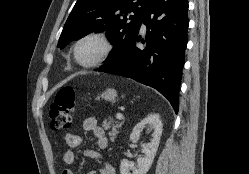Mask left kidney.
<instances>
[{
  "label": "left kidney",
  "instance_id": "left-kidney-1",
  "mask_svg": "<svg viewBox=\"0 0 249 174\" xmlns=\"http://www.w3.org/2000/svg\"><path fill=\"white\" fill-rule=\"evenodd\" d=\"M149 125L154 129L152 134V139L150 143L145 145L142 149V153H144V157H139L137 159L136 164L133 162L128 161L127 159H123L120 165V173L121 174H146L150 169L154 157L156 155L160 137L162 134V121L158 114H150L142 121H140L137 125L134 126L133 131L130 135V140H137L140 137L142 129Z\"/></svg>",
  "mask_w": 249,
  "mask_h": 174
}]
</instances>
